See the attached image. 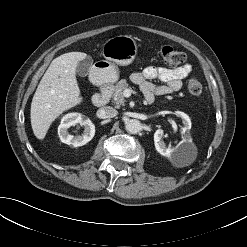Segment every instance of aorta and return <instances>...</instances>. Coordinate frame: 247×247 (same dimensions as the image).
I'll return each mask as SVG.
<instances>
[{"instance_id":"aorta-1","label":"aorta","mask_w":247,"mask_h":247,"mask_svg":"<svg viewBox=\"0 0 247 247\" xmlns=\"http://www.w3.org/2000/svg\"><path fill=\"white\" fill-rule=\"evenodd\" d=\"M125 129L130 134H137L142 130V124L137 119H130L125 123Z\"/></svg>"}]
</instances>
